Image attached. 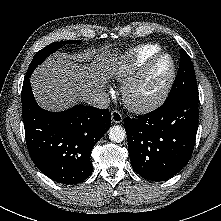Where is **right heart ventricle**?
Returning a JSON list of instances; mask_svg holds the SVG:
<instances>
[{
  "mask_svg": "<svg viewBox=\"0 0 221 221\" xmlns=\"http://www.w3.org/2000/svg\"><path fill=\"white\" fill-rule=\"evenodd\" d=\"M160 50L157 44H145L130 50L120 58L119 65L113 68V74L118 80L129 77Z\"/></svg>",
  "mask_w": 221,
  "mask_h": 221,
  "instance_id": "1",
  "label": "right heart ventricle"
}]
</instances>
